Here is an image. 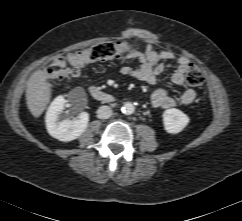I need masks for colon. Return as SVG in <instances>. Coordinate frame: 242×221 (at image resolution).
<instances>
[{
	"instance_id": "5ec220e1",
	"label": "colon",
	"mask_w": 242,
	"mask_h": 221,
	"mask_svg": "<svg viewBox=\"0 0 242 221\" xmlns=\"http://www.w3.org/2000/svg\"><path fill=\"white\" fill-rule=\"evenodd\" d=\"M135 51L128 42H104L90 48L73 51L66 56L54 58L46 68V76L51 80H62L70 75H77L87 65L106 61ZM187 83L194 87L203 84L202 70L195 64H190L186 71Z\"/></svg>"
}]
</instances>
